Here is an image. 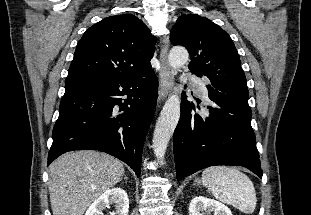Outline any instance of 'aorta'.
Listing matches in <instances>:
<instances>
[{
    "mask_svg": "<svg viewBox=\"0 0 311 215\" xmlns=\"http://www.w3.org/2000/svg\"><path fill=\"white\" fill-rule=\"evenodd\" d=\"M189 59L188 51L181 46L173 47L168 55L171 68L174 70L184 66ZM180 118V99L176 94H172L165 102L160 116L156 122L153 134L154 154L163 163L168 143L174 133Z\"/></svg>",
    "mask_w": 311,
    "mask_h": 215,
    "instance_id": "762f6f07",
    "label": "aorta"
}]
</instances>
